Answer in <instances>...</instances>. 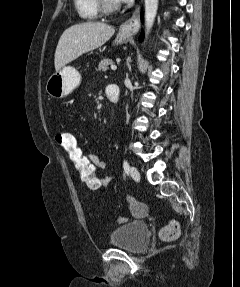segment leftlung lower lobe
I'll list each match as a JSON object with an SVG mask.
<instances>
[{
    "label": "left lung lower lobe",
    "instance_id": "1",
    "mask_svg": "<svg viewBox=\"0 0 240 287\" xmlns=\"http://www.w3.org/2000/svg\"><path fill=\"white\" fill-rule=\"evenodd\" d=\"M142 39H143V35H140L139 41H142Z\"/></svg>",
    "mask_w": 240,
    "mask_h": 287
}]
</instances>
